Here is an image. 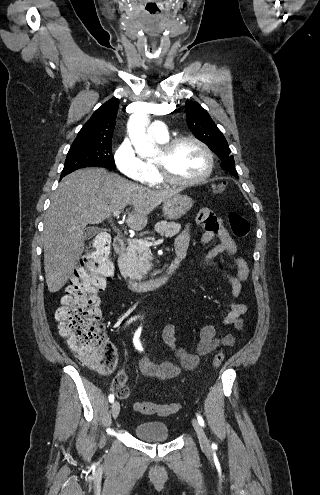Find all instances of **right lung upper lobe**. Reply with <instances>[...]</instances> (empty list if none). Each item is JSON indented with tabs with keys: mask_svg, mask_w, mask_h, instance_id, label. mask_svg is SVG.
I'll use <instances>...</instances> for the list:
<instances>
[{
	"mask_svg": "<svg viewBox=\"0 0 320 495\" xmlns=\"http://www.w3.org/2000/svg\"><path fill=\"white\" fill-rule=\"evenodd\" d=\"M117 108V98L101 105L83 125L73 144L111 143Z\"/></svg>",
	"mask_w": 320,
	"mask_h": 495,
	"instance_id": "1",
	"label": "right lung upper lobe"
}]
</instances>
